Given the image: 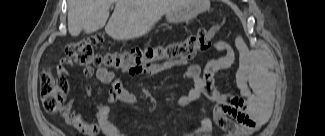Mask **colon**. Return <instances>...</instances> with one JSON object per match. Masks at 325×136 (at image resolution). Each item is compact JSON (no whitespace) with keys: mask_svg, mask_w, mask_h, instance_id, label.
<instances>
[{"mask_svg":"<svg viewBox=\"0 0 325 136\" xmlns=\"http://www.w3.org/2000/svg\"><path fill=\"white\" fill-rule=\"evenodd\" d=\"M218 31V26L202 29L196 35L183 42L171 43L152 48H131L122 51L99 53L95 47L103 41L100 34L92 35L67 45L66 58L82 66L102 67L131 74L139 73L160 61H186L197 52L206 49ZM40 96L44 109L48 113L63 110L65 94L49 69L40 75Z\"/></svg>","mask_w":325,"mask_h":136,"instance_id":"obj_1","label":"colon"}]
</instances>
